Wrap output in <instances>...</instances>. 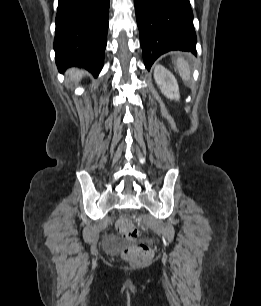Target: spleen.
Returning <instances> with one entry per match:
<instances>
[{
	"label": "spleen",
	"mask_w": 261,
	"mask_h": 306,
	"mask_svg": "<svg viewBox=\"0 0 261 306\" xmlns=\"http://www.w3.org/2000/svg\"><path fill=\"white\" fill-rule=\"evenodd\" d=\"M177 69L183 81H188L190 79V67L185 59L178 58Z\"/></svg>",
	"instance_id": "3e777b00"
}]
</instances>
